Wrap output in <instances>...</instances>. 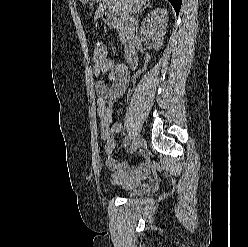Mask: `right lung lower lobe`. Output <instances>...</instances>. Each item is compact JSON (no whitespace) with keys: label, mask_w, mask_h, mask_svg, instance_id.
<instances>
[{"label":"right lung lower lobe","mask_w":248,"mask_h":247,"mask_svg":"<svg viewBox=\"0 0 248 247\" xmlns=\"http://www.w3.org/2000/svg\"><path fill=\"white\" fill-rule=\"evenodd\" d=\"M169 2L173 5L176 14L178 15L181 8L182 0H169Z\"/></svg>","instance_id":"obj_1"}]
</instances>
